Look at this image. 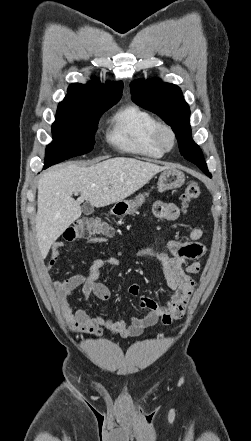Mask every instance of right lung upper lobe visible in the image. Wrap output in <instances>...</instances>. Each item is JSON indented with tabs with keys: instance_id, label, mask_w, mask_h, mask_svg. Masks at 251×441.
<instances>
[{
	"instance_id": "right-lung-upper-lobe-1",
	"label": "right lung upper lobe",
	"mask_w": 251,
	"mask_h": 441,
	"mask_svg": "<svg viewBox=\"0 0 251 441\" xmlns=\"http://www.w3.org/2000/svg\"><path fill=\"white\" fill-rule=\"evenodd\" d=\"M123 83L106 82L101 84L93 80L88 84L73 83L68 87L65 99L59 104L58 110H74L87 100L119 101L122 95Z\"/></svg>"
}]
</instances>
